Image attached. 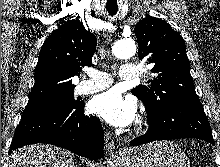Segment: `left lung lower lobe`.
Listing matches in <instances>:
<instances>
[{"mask_svg": "<svg viewBox=\"0 0 220 167\" xmlns=\"http://www.w3.org/2000/svg\"><path fill=\"white\" fill-rule=\"evenodd\" d=\"M149 129L135 138L130 146H139L156 140L197 138L214 145L211 127L201 102L173 100L160 111H147Z\"/></svg>", "mask_w": 220, "mask_h": 167, "instance_id": "obj_1", "label": "left lung lower lobe"}]
</instances>
